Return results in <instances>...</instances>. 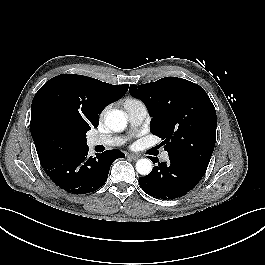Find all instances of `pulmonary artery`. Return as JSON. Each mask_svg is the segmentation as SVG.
Segmentation results:
<instances>
[{"mask_svg": "<svg viewBox=\"0 0 265 265\" xmlns=\"http://www.w3.org/2000/svg\"><path fill=\"white\" fill-rule=\"evenodd\" d=\"M124 107L126 109L129 122L133 129L138 128L144 121L147 115L146 106L138 101V102H129L125 103ZM125 138L121 136H111V135H97L91 136L88 138V145L90 147H94L97 145L102 146H119L125 142ZM168 153L164 151L161 154V159L166 160L168 158Z\"/></svg>", "mask_w": 265, "mask_h": 265, "instance_id": "e3ab8cb5", "label": "pulmonary artery"}]
</instances>
